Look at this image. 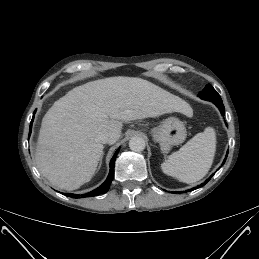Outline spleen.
Returning <instances> with one entry per match:
<instances>
[{
  "instance_id": "spleen-1",
  "label": "spleen",
  "mask_w": 259,
  "mask_h": 259,
  "mask_svg": "<svg viewBox=\"0 0 259 259\" xmlns=\"http://www.w3.org/2000/svg\"><path fill=\"white\" fill-rule=\"evenodd\" d=\"M216 151V133L212 127L196 134L179 151L161 164L162 171L190 184L202 179L210 170Z\"/></svg>"
}]
</instances>
